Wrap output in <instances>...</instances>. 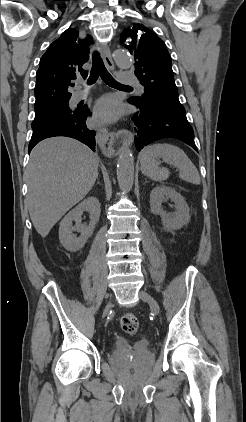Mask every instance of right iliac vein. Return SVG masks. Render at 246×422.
<instances>
[{
  "instance_id": "obj_1",
  "label": "right iliac vein",
  "mask_w": 246,
  "mask_h": 422,
  "mask_svg": "<svg viewBox=\"0 0 246 422\" xmlns=\"http://www.w3.org/2000/svg\"><path fill=\"white\" fill-rule=\"evenodd\" d=\"M111 306H112V303H111V301H109L108 304L106 305L105 309H104L103 315H106L108 313Z\"/></svg>"
}]
</instances>
